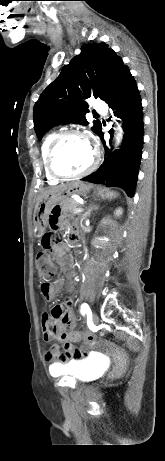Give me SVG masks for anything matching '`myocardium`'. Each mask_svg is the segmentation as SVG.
Returning a JSON list of instances; mask_svg holds the SVG:
<instances>
[{
    "label": "myocardium",
    "instance_id": "obj_1",
    "mask_svg": "<svg viewBox=\"0 0 165 461\" xmlns=\"http://www.w3.org/2000/svg\"><path fill=\"white\" fill-rule=\"evenodd\" d=\"M68 137H81V138L87 140L88 143L90 144V146L92 148V152H93V157H92V161H91L90 165L85 170H83L82 172H79V173H76V174H62L56 169L55 164H54V157H55V153H56V150H57L58 146L60 145V143L64 139H66ZM99 159H100L99 151H98L97 147L91 142L88 135H86L85 133H83V132H81L79 130L70 129V130H65V131L59 133L52 140L51 144L48 147L47 154H46V169H47L48 173L51 176H53L54 178H57V179H67V180L78 179V178H82V177L90 174L91 172H93L96 169V167H97V165L99 163Z\"/></svg>",
    "mask_w": 165,
    "mask_h": 461
}]
</instances>
